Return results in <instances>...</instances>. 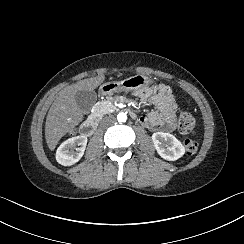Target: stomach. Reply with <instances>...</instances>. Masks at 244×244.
Returning <instances> with one entry per match:
<instances>
[{
  "label": "stomach",
  "instance_id": "obj_1",
  "mask_svg": "<svg viewBox=\"0 0 244 244\" xmlns=\"http://www.w3.org/2000/svg\"><path fill=\"white\" fill-rule=\"evenodd\" d=\"M150 79L142 76H133L123 81H112L104 83L99 88L101 95H111L114 92L129 91L137 89L142 85H149Z\"/></svg>",
  "mask_w": 244,
  "mask_h": 244
}]
</instances>
